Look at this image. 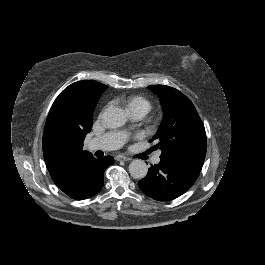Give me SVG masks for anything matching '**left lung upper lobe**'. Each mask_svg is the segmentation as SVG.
<instances>
[{
    "mask_svg": "<svg viewBox=\"0 0 265 265\" xmlns=\"http://www.w3.org/2000/svg\"><path fill=\"white\" fill-rule=\"evenodd\" d=\"M159 97L164 117L153 140L154 149L162 150L163 159H197L206 156V133L193 103L175 88L164 85L148 87Z\"/></svg>",
    "mask_w": 265,
    "mask_h": 265,
    "instance_id": "left-lung-upper-lobe-1",
    "label": "left lung upper lobe"
}]
</instances>
